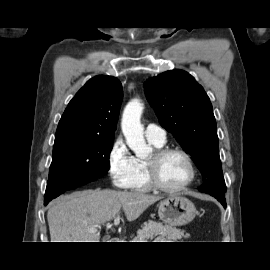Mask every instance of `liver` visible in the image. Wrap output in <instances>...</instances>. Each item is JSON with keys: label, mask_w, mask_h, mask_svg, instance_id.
Listing matches in <instances>:
<instances>
[{"label": "liver", "mask_w": 270, "mask_h": 270, "mask_svg": "<svg viewBox=\"0 0 270 270\" xmlns=\"http://www.w3.org/2000/svg\"><path fill=\"white\" fill-rule=\"evenodd\" d=\"M160 199L141 192L114 190H86L62 196L51 203L47 213L51 242H99L101 225L116 217L121 208L127 220L134 221Z\"/></svg>", "instance_id": "obj_1"}]
</instances>
